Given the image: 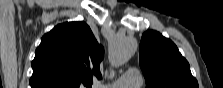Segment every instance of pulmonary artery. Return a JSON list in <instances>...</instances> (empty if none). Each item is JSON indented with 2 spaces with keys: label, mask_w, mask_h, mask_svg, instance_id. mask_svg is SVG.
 I'll return each mask as SVG.
<instances>
[{
  "label": "pulmonary artery",
  "mask_w": 223,
  "mask_h": 88,
  "mask_svg": "<svg viewBox=\"0 0 223 88\" xmlns=\"http://www.w3.org/2000/svg\"><path fill=\"white\" fill-rule=\"evenodd\" d=\"M143 79L140 71L135 68L129 69L124 75L103 88H136L142 85Z\"/></svg>",
  "instance_id": "obj_1"
}]
</instances>
